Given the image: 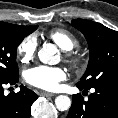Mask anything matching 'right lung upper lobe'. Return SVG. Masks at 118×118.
Masks as SVG:
<instances>
[{
  "mask_svg": "<svg viewBox=\"0 0 118 118\" xmlns=\"http://www.w3.org/2000/svg\"><path fill=\"white\" fill-rule=\"evenodd\" d=\"M20 30L27 32V33H32L34 32L38 26H20V25H16Z\"/></svg>",
  "mask_w": 118,
  "mask_h": 118,
  "instance_id": "1",
  "label": "right lung upper lobe"
}]
</instances>
